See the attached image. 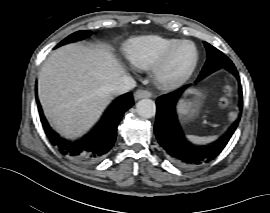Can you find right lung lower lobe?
Segmentation results:
<instances>
[{"label":"right lung lower lobe","mask_w":270,"mask_h":213,"mask_svg":"<svg viewBox=\"0 0 270 213\" xmlns=\"http://www.w3.org/2000/svg\"><path fill=\"white\" fill-rule=\"evenodd\" d=\"M42 126L46 135L60 153L80 163H95L103 159L113 147L116 140L117 126L123 114L134 104L132 94L119 97L105 111L102 119L85 137L78 141L62 139L55 133L46 121L40 103L37 99Z\"/></svg>","instance_id":"1"}]
</instances>
